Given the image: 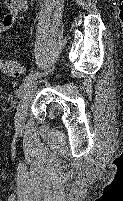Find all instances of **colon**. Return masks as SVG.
I'll use <instances>...</instances> for the list:
<instances>
[{"instance_id": "obj_1", "label": "colon", "mask_w": 123, "mask_h": 201, "mask_svg": "<svg viewBox=\"0 0 123 201\" xmlns=\"http://www.w3.org/2000/svg\"><path fill=\"white\" fill-rule=\"evenodd\" d=\"M0 70L6 75L18 76L22 72V66L18 61L0 58Z\"/></svg>"}]
</instances>
